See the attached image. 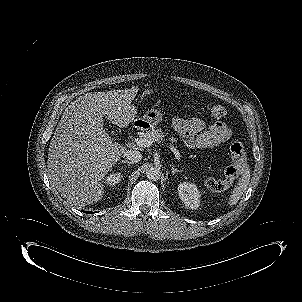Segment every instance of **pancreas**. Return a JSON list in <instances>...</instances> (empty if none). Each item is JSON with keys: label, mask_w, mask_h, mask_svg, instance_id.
Returning <instances> with one entry per match:
<instances>
[{"label": "pancreas", "mask_w": 302, "mask_h": 302, "mask_svg": "<svg viewBox=\"0 0 302 302\" xmlns=\"http://www.w3.org/2000/svg\"><path fill=\"white\" fill-rule=\"evenodd\" d=\"M146 138L152 139L154 142H160L164 138V133L161 128H152L150 131L144 133ZM172 142H176L175 138L171 139Z\"/></svg>", "instance_id": "1"}]
</instances>
